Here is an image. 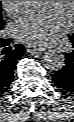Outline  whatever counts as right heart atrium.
Listing matches in <instances>:
<instances>
[{"instance_id":"right-heart-atrium-1","label":"right heart atrium","mask_w":74,"mask_h":122,"mask_svg":"<svg viewBox=\"0 0 74 122\" xmlns=\"http://www.w3.org/2000/svg\"><path fill=\"white\" fill-rule=\"evenodd\" d=\"M24 1H1L4 10L9 15H16L23 7Z\"/></svg>"}]
</instances>
